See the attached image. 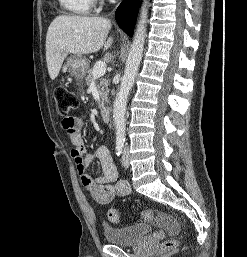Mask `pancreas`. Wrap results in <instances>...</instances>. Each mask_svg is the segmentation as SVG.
<instances>
[{"label": "pancreas", "instance_id": "cf45deb5", "mask_svg": "<svg viewBox=\"0 0 247 257\" xmlns=\"http://www.w3.org/2000/svg\"><path fill=\"white\" fill-rule=\"evenodd\" d=\"M97 81V89L99 91L100 95V102H99V108L104 107L105 102H108V94H109V88H108V80L105 78H100L99 80L94 79L92 75V70H87V75L85 77V81L87 85H89L92 81Z\"/></svg>", "mask_w": 247, "mask_h": 257}]
</instances>
